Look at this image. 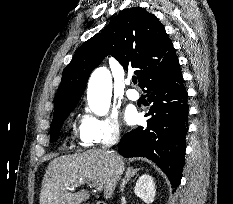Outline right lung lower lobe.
<instances>
[{
  "label": "right lung lower lobe",
  "instance_id": "obj_1",
  "mask_svg": "<svg viewBox=\"0 0 233 204\" xmlns=\"http://www.w3.org/2000/svg\"><path fill=\"white\" fill-rule=\"evenodd\" d=\"M179 62L156 74L145 86L152 103L153 117L147 127L126 133L119 143L124 157H146L155 162L168 176L172 187L181 180L185 164V138L188 132V94Z\"/></svg>",
  "mask_w": 233,
  "mask_h": 204
}]
</instances>
